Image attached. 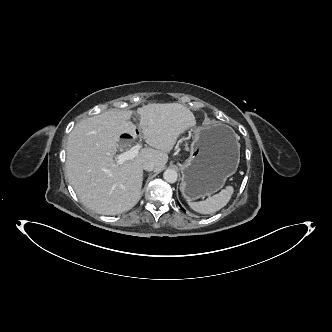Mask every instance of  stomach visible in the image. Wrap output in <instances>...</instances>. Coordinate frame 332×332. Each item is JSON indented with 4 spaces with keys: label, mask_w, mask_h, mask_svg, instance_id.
<instances>
[{
    "label": "stomach",
    "mask_w": 332,
    "mask_h": 332,
    "mask_svg": "<svg viewBox=\"0 0 332 332\" xmlns=\"http://www.w3.org/2000/svg\"><path fill=\"white\" fill-rule=\"evenodd\" d=\"M239 161L240 144L231 127L220 124L196 130L182 168L183 197L195 201L218 192L236 172Z\"/></svg>",
    "instance_id": "stomach-1"
}]
</instances>
